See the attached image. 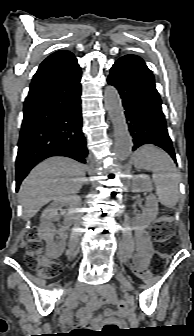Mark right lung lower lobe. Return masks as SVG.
I'll list each match as a JSON object with an SVG mask.
<instances>
[{"label": "right lung lower lobe", "instance_id": "obj_1", "mask_svg": "<svg viewBox=\"0 0 194 336\" xmlns=\"http://www.w3.org/2000/svg\"><path fill=\"white\" fill-rule=\"evenodd\" d=\"M81 70L72 66L30 85L16 159V191L29 171L43 159L64 155L85 163L82 132Z\"/></svg>", "mask_w": 194, "mask_h": 336}]
</instances>
